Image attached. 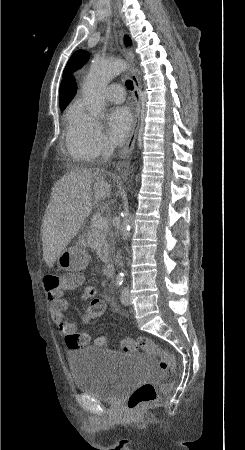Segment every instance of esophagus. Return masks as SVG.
Returning a JSON list of instances; mask_svg holds the SVG:
<instances>
[{"label":"esophagus","mask_w":245,"mask_h":450,"mask_svg":"<svg viewBox=\"0 0 245 450\" xmlns=\"http://www.w3.org/2000/svg\"><path fill=\"white\" fill-rule=\"evenodd\" d=\"M118 34H119V41L122 45L123 53H124L126 59L130 63H132L133 58H134L132 51H130L129 49H126L123 46L122 36L124 34V31L119 30ZM130 75H131L133 85H134L133 98H134V102H135V114H134V122H133V126L131 129L130 135H129L128 140H127L126 144L124 145V147L121 151V154H120V161L118 163L119 171L124 166L126 160L130 157V155L132 154V152L134 150L137 132H138L139 124H140V113H141L140 82H139V79L133 69H131Z\"/></svg>","instance_id":"34e87169"}]
</instances>
